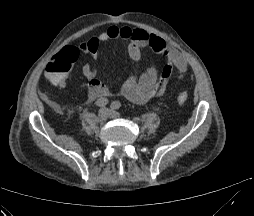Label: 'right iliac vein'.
I'll use <instances>...</instances> for the list:
<instances>
[{
  "instance_id": "1",
  "label": "right iliac vein",
  "mask_w": 254,
  "mask_h": 216,
  "mask_svg": "<svg viewBox=\"0 0 254 216\" xmlns=\"http://www.w3.org/2000/svg\"><path fill=\"white\" fill-rule=\"evenodd\" d=\"M109 112L107 109H101L99 110L98 114H97V120L99 123H104L106 122L107 118H108Z\"/></svg>"
}]
</instances>
